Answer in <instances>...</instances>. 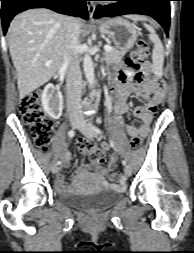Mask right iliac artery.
<instances>
[{
  "instance_id": "obj_1",
  "label": "right iliac artery",
  "mask_w": 194,
  "mask_h": 253,
  "mask_svg": "<svg viewBox=\"0 0 194 253\" xmlns=\"http://www.w3.org/2000/svg\"><path fill=\"white\" fill-rule=\"evenodd\" d=\"M74 135H75V131H74V130H70V131L68 132V136H69L70 138H72ZM56 164H57V165H60V164H61V161H57Z\"/></svg>"
}]
</instances>
